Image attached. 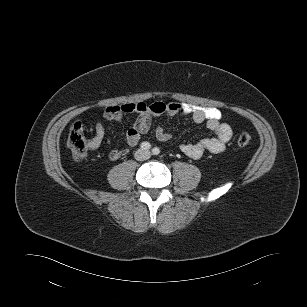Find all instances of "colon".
Here are the masks:
<instances>
[{"label": "colon", "mask_w": 307, "mask_h": 307, "mask_svg": "<svg viewBox=\"0 0 307 307\" xmlns=\"http://www.w3.org/2000/svg\"><path fill=\"white\" fill-rule=\"evenodd\" d=\"M251 140L248 133H241L237 137V145L246 147L250 145ZM68 145L76 159H83L87 155L90 149V140L87 138L85 126L81 122H76L70 128Z\"/></svg>", "instance_id": "obj_1"}]
</instances>
